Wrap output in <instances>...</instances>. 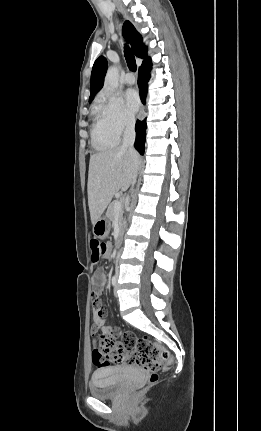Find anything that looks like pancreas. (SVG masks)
I'll return each instance as SVG.
<instances>
[{"mask_svg":"<svg viewBox=\"0 0 261 431\" xmlns=\"http://www.w3.org/2000/svg\"><path fill=\"white\" fill-rule=\"evenodd\" d=\"M115 202H117L116 200H114V201H112L110 204H109V206H108V209H107V212H106V216H107V218L110 220V221H113L114 220V217H115V210H114V203ZM122 214H123V211L122 210H120L119 211V220L121 221V218H122Z\"/></svg>","mask_w":261,"mask_h":431,"instance_id":"obj_1","label":"pancreas"}]
</instances>
